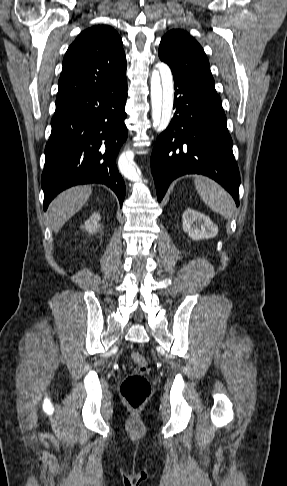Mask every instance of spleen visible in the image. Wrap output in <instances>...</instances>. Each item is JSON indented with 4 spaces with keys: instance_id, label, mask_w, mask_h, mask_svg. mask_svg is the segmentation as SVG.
<instances>
[{
    "instance_id": "1",
    "label": "spleen",
    "mask_w": 287,
    "mask_h": 486,
    "mask_svg": "<svg viewBox=\"0 0 287 486\" xmlns=\"http://www.w3.org/2000/svg\"><path fill=\"white\" fill-rule=\"evenodd\" d=\"M194 184L206 205L226 219L231 218L233 203L228 193L218 183L205 176H196Z\"/></svg>"
}]
</instances>
